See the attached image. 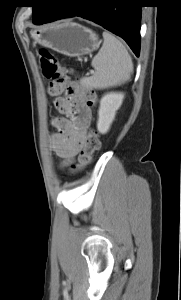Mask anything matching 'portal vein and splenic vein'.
Returning a JSON list of instances; mask_svg holds the SVG:
<instances>
[{
  "label": "portal vein and splenic vein",
  "instance_id": "portal-vein-and-splenic-vein-1",
  "mask_svg": "<svg viewBox=\"0 0 181 300\" xmlns=\"http://www.w3.org/2000/svg\"><path fill=\"white\" fill-rule=\"evenodd\" d=\"M90 73H91V74H93V73H94V71H93V70H91V71H90ZM88 74H89V73H88Z\"/></svg>",
  "mask_w": 181,
  "mask_h": 300
}]
</instances>
